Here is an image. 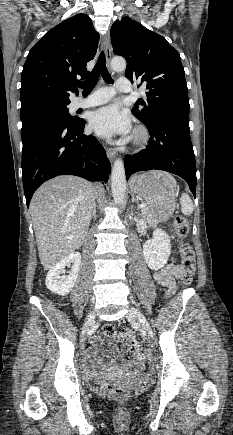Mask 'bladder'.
Listing matches in <instances>:
<instances>
[{
    "instance_id": "31cf9c89",
    "label": "bladder",
    "mask_w": 233,
    "mask_h": 435,
    "mask_svg": "<svg viewBox=\"0 0 233 435\" xmlns=\"http://www.w3.org/2000/svg\"><path fill=\"white\" fill-rule=\"evenodd\" d=\"M129 378H130V377H129ZM87 380H88V382H90V383H93V382L96 381L95 379H90V378H88Z\"/></svg>"
}]
</instances>
